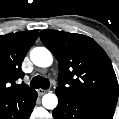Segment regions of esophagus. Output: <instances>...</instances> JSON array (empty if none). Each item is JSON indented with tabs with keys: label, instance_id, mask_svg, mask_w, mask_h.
<instances>
[{
	"label": "esophagus",
	"instance_id": "1",
	"mask_svg": "<svg viewBox=\"0 0 119 119\" xmlns=\"http://www.w3.org/2000/svg\"><path fill=\"white\" fill-rule=\"evenodd\" d=\"M37 92H38V94H39L40 96H42V95H44V94L46 93V90L38 89Z\"/></svg>",
	"mask_w": 119,
	"mask_h": 119
}]
</instances>
